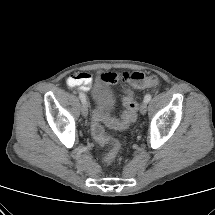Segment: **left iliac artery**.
<instances>
[{
	"label": "left iliac artery",
	"instance_id": "1",
	"mask_svg": "<svg viewBox=\"0 0 215 215\" xmlns=\"http://www.w3.org/2000/svg\"><path fill=\"white\" fill-rule=\"evenodd\" d=\"M151 98H152L151 94H146L145 97H144V101L146 103H148L151 100Z\"/></svg>",
	"mask_w": 215,
	"mask_h": 215
}]
</instances>
